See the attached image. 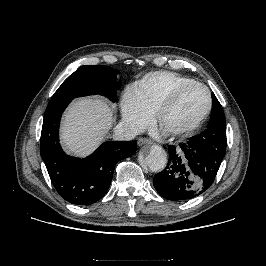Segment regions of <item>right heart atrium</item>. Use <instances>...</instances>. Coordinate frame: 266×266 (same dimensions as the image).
Returning <instances> with one entry per match:
<instances>
[{"label": "right heart atrium", "mask_w": 266, "mask_h": 266, "mask_svg": "<svg viewBox=\"0 0 266 266\" xmlns=\"http://www.w3.org/2000/svg\"><path fill=\"white\" fill-rule=\"evenodd\" d=\"M121 116L124 124L133 132H139L151 122V115L139 104L129 89L121 100Z\"/></svg>", "instance_id": "right-heart-atrium-1"}]
</instances>
